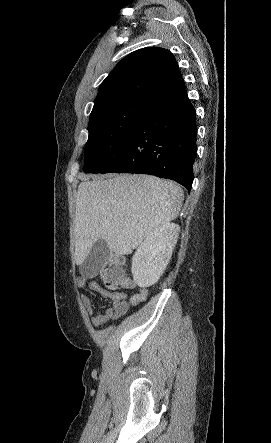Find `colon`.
Returning a JSON list of instances; mask_svg holds the SVG:
<instances>
[{"label": "colon", "mask_w": 271, "mask_h": 443, "mask_svg": "<svg viewBox=\"0 0 271 443\" xmlns=\"http://www.w3.org/2000/svg\"><path fill=\"white\" fill-rule=\"evenodd\" d=\"M100 275L104 284L111 289L131 285L124 269V259L118 255H109L105 259Z\"/></svg>", "instance_id": "5ec220e1"}]
</instances>
